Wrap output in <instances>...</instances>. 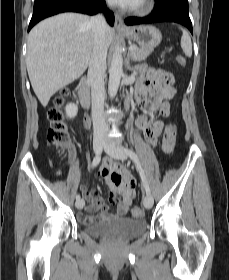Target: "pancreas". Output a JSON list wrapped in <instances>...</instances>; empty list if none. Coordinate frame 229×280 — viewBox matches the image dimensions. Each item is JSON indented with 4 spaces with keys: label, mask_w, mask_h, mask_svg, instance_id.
I'll list each match as a JSON object with an SVG mask.
<instances>
[{
    "label": "pancreas",
    "mask_w": 229,
    "mask_h": 280,
    "mask_svg": "<svg viewBox=\"0 0 229 280\" xmlns=\"http://www.w3.org/2000/svg\"><path fill=\"white\" fill-rule=\"evenodd\" d=\"M135 48V51L130 53L131 59L133 61H143L145 60L150 53L153 51V49H144V48H138L137 46L133 45Z\"/></svg>",
    "instance_id": "obj_1"
}]
</instances>
